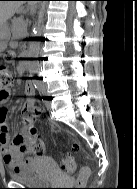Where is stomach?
Masks as SVG:
<instances>
[{"mask_svg":"<svg viewBox=\"0 0 137 189\" xmlns=\"http://www.w3.org/2000/svg\"><path fill=\"white\" fill-rule=\"evenodd\" d=\"M10 38V32L7 24L0 28V50L5 45V41Z\"/></svg>","mask_w":137,"mask_h":189,"instance_id":"0dacf381","label":"stomach"}]
</instances>
